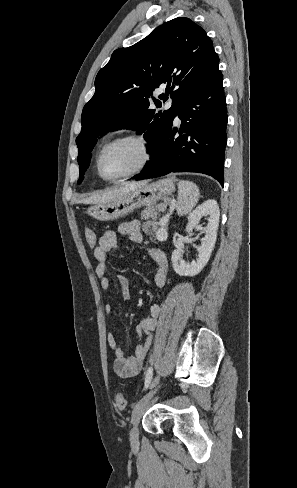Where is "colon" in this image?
<instances>
[{
	"mask_svg": "<svg viewBox=\"0 0 297 488\" xmlns=\"http://www.w3.org/2000/svg\"><path fill=\"white\" fill-rule=\"evenodd\" d=\"M85 238H86L87 244L89 245V247L91 249H94L97 246V243H98L97 236L92 229L87 228L85 230ZM114 401H115L116 407L120 410L125 409L127 406V396L122 391H118L115 393Z\"/></svg>",
	"mask_w": 297,
	"mask_h": 488,
	"instance_id": "1",
	"label": "colon"
}]
</instances>
